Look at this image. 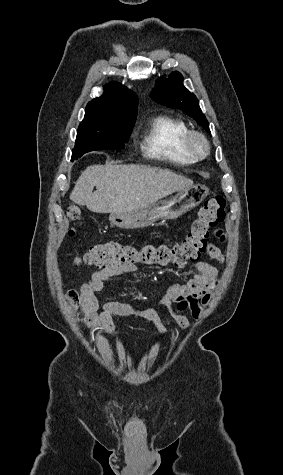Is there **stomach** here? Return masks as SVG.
Instances as JSON below:
<instances>
[{
    "label": "stomach",
    "mask_w": 283,
    "mask_h": 475,
    "mask_svg": "<svg viewBox=\"0 0 283 475\" xmlns=\"http://www.w3.org/2000/svg\"><path fill=\"white\" fill-rule=\"evenodd\" d=\"M208 194L206 186L196 184L192 188L182 190L170 200H160L131 212H111L109 222L118 228H146L159 220H176L182 214L199 206Z\"/></svg>",
    "instance_id": "0dacf381"
}]
</instances>
